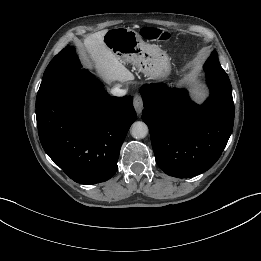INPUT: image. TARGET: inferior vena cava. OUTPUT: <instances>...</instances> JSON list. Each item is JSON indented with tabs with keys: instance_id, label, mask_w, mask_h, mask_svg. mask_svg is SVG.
<instances>
[{
	"instance_id": "inferior-vena-cava-1",
	"label": "inferior vena cava",
	"mask_w": 261,
	"mask_h": 261,
	"mask_svg": "<svg viewBox=\"0 0 261 261\" xmlns=\"http://www.w3.org/2000/svg\"><path fill=\"white\" fill-rule=\"evenodd\" d=\"M111 93L114 96H119L120 97V96H124L126 94V90L125 89H120L119 86H116V87L112 88Z\"/></svg>"
}]
</instances>
